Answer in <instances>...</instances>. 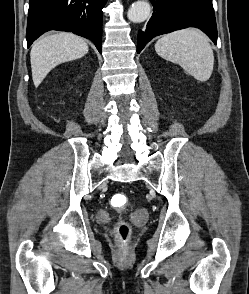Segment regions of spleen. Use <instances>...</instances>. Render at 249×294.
I'll return each mask as SVG.
<instances>
[{
  "instance_id": "spleen-1",
  "label": "spleen",
  "mask_w": 249,
  "mask_h": 294,
  "mask_svg": "<svg viewBox=\"0 0 249 294\" xmlns=\"http://www.w3.org/2000/svg\"><path fill=\"white\" fill-rule=\"evenodd\" d=\"M155 51L162 58L178 63L200 82L207 81L213 71L214 54L208 37L198 29L187 28L161 37Z\"/></svg>"
}]
</instances>
